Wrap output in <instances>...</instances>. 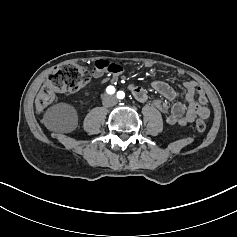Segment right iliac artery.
<instances>
[{
    "mask_svg": "<svg viewBox=\"0 0 237 237\" xmlns=\"http://www.w3.org/2000/svg\"><path fill=\"white\" fill-rule=\"evenodd\" d=\"M108 94H113L115 92L114 86H108L106 89Z\"/></svg>",
    "mask_w": 237,
    "mask_h": 237,
    "instance_id": "82829eb1",
    "label": "right iliac artery"
}]
</instances>
